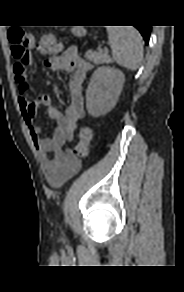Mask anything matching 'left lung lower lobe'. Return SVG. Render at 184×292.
<instances>
[{"mask_svg": "<svg viewBox=\"0 0 184 292\" xmlns=\"http://www.w3.org/2000/svg\"><path fill=\"white\" fill-rule=\"evenodd\" d=\"M135 27L140 31L141 35L143 36L145 40V43L148 44L151 26L136 25Z\"/></svg>", "mask_w": 184, "mask_h": 292, "instance_id": "1", "label": "left lung lower lobe"}]
</instances>
